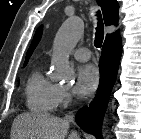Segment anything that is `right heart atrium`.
<instances>
[{
    "instance_id": "1",
    "label": "right heart atrium",
    "mask_w": 141,
    "mask_h": 139,
    "mask_svg": "<svg viewBox=\"0 0 141 139\" xmlns=\"http://www.w3.org/2000/svg\"><path fill=\"white\" fill-rule=\"evenodd\" d=\"M71 100V95L66 89L59 88L57 95V107L66 106Z\"/></svg>"
}]
</instances>
